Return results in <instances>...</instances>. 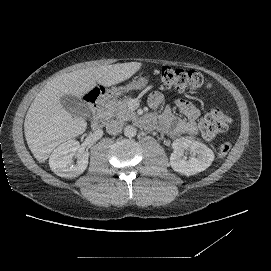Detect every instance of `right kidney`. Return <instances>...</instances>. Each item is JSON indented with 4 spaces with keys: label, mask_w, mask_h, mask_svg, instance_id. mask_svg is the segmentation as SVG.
<instances>
[{
    "label": "right kidney",
    "mask_w": 271,
    "mask_h": 271,
    "mask_svg": "<svg viewBox=\"0 0 271 271\" xmlns=\"http://www.w3.org/2000/svg\"><path fill=\"white\" fill-rule=\"evenodd\" d=\"M80 143L74 139H70L60 144L49 158L51 170L58 176L64 178H73L81 175L88 165V152L78 153ZM73 157L77 158V162L73 164Z\"/></svg>",
    "instance_id": "right-kidney-1"
}]
</instances>
